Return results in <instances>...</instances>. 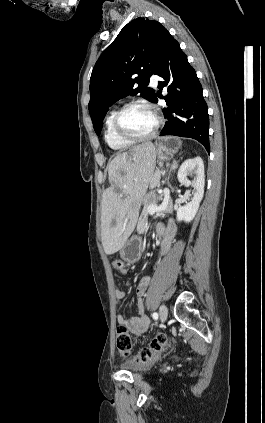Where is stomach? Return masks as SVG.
Segmentation results:
<instances>
[{
    "label": "stomach",
    "instance_id": "stomach-1",
    "mask_svg": "<svg viewBox=\"0 0 265 423\" xmlns=\"http://www.w3.org/2000/svg\"><path fill=\"white\" fill-rule=\"evenodd\" d=\"M178 146L176 141L171 137L158 139L156 143L157 156L161 161L172 159L176 153ZM121 258L128 263H136L142 256V240L139 236L134 235L126 241L120 250Z\"/></svg>",
    "mask_w": 265,
    "mask_h": 423
}]
</instances>
